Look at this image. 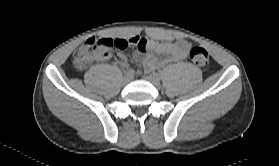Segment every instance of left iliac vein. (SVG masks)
<instances>
[{"mask_svg": "<svg viewBox=\"0 0 279 166\" xmlns=\"http://www.w3.org/2000/svg\"><path fill=\"white\" fill-rule=\"evenodd\" d=\"M146 80H148L150 83H152L156 88L160 89L161 88V82L160 78L155 75L147 76Z\"/></svg>", "mask_w": 279, "mask_h": 166, "instance_id": "4c4485c4", "label": "left iliac vein"}]
</instances>
